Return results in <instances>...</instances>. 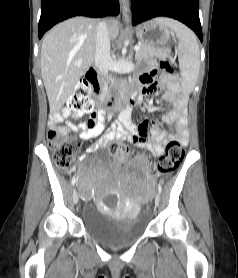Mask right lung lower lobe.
<instances>
[{"instance_id":"98d812e1","label":"right lung lower lobe","mask_w":238,"mask_h":278,"mask_svg":"<svg viewBox=\"0 0 238 278\" xmlns=\"http://www.w3.org/2000/svg\"><path fill=\"white\" fill-rule=\"evenodd\" d=\"M119 14V0H42L39 38L52 26L73 16L104 17Z\"/></svg>"}]
</instances>
